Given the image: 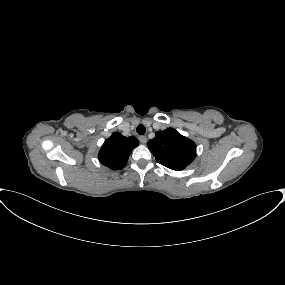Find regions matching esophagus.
Returning a JSON list of instances; mask_svg holds the SVG:
<instances>
[{"mask_svg":"<svg viewBox=\"0 0 285 285\" xmlns=\"http://www.w3.org/2000/svg\"><path fill=\"white\" fill-rule=\"evenodd\" d=\"M139 141H140L142 144H146V143H147V137H146V136H139Z\"/></svg>","mask_w":285,"mask_h":285,"instance_id":"34e87169","label":"esophagus"}]
</instances>
